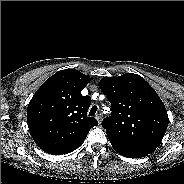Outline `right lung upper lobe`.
I'll return each mask as SVG.
<instances>
[{"label": "right lung upper lobe", "instance_id": "1", "mask_svg": "<svg viewBox=\"0 0 184 184\" xmlns=\"http://www.w3.org/2000/svg\"><path fill=\"white\" fill-rule=\"evenodd\" d=\"M90 77L75 69L58 71L35 92L27 108V123L35 143L46 153L62 155L77 149L98 125L87 117L90 96L81 91Z\"/></svg>", "mask_w": 184, "mask_h": 184}]
</instances>
